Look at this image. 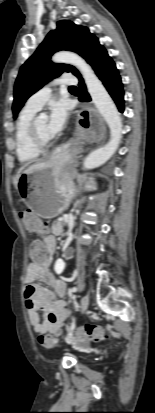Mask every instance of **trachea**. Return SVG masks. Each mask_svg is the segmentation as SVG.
Returning a JSON list of instances; mask_svg holds the SVG:
<instances>
[{"label":"trachea","mask_w":155,"mask_h":413,"mask_svg":"<svg viewBox=\"0 0 155 413\" xmlns=\"http://www.w3.org/2000/svg\"><path fill=\"white\" fill-rule=\"evenodd\" d=\"M70 89H76V87H75V86H71Z\"/></svg>","instance_id":"3493384b"}]
</instances>
